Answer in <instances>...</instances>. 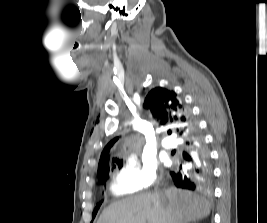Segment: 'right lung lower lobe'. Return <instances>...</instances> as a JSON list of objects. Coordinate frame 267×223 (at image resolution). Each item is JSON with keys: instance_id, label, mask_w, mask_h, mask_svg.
Here are the masks:
<instances>
[{"instance_id": "1", "label": "right lung lower lobe", "mask_w": 267, "mask_h": 223, "mask_svg": "<svg viewBox=\"0 0 267 223\" xmlns=\"http://www.w3.org/2000/svg\"><path fill=\"white\" fill-rule=\"evenodd\" d=\"M184 140L188 151L184 158L189 164L186 167H176L170 171V176L176 187L189 190L207 189L213 178L212 163L197 124Z\"/></svg>"}]
</instances>
